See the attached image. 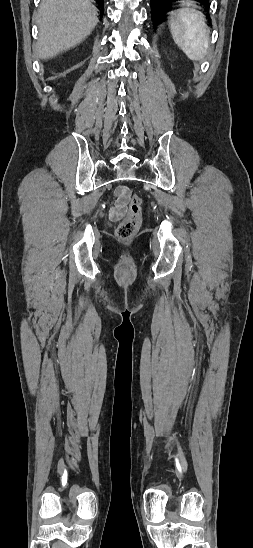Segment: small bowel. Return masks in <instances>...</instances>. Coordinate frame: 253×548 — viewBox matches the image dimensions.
<instances>
[{"label": "small bowel", "mask_w": 253, "mask_h": 548, "mask_svg": "<svg viewBox=\"0 0 253 548\" xmlns=\"http://www.w3.org/2000/svg\"><path fill=\"white\" fill-rule=\"evenodd\" d=\"M129 189L120 185L115 190V200L109 210V216L112 220H119L127 212V202Z\"/></svg>", "instance_id": "1"}]
</instances>
